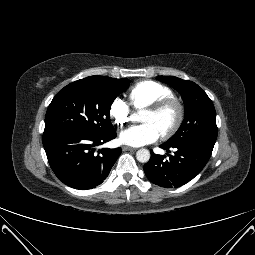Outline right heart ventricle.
I'll return each instance as SVG.
<instances>
[{
	"mask_svg": "<svg viewBox=\"0 0 255 255\" xmlns=\"http://www.w3.org/2000/svg\"><path fill=\"white\" fill-rule=\"evenodd\" d=\"M173 96L172 90L156 81L146 80L136 83L128 92V98L135 109H143L166 97Z\"/></svg>",
	"mask_w": 255,
	"mask_h": 255,
	"instance_id": "obj_1",
	"label": "right heart ventricle"
}]
</instances>
